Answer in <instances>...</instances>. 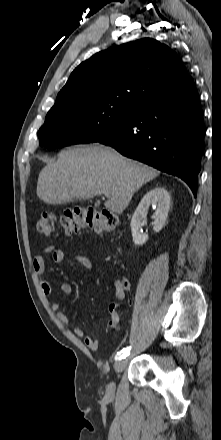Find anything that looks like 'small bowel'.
<instances>
[{"label": "small bowel", "instance_id": "1", "mask_svg": "<svg viewBox=\"0 0 221 440\" xmlns=\"http://www.w3.org/2000/svg\"><path fill=\"white\" fill-rule=\"evenodd\" d=\"M45 253L51 254L52 259L56 263H63L66 260L65 253L61 249H56L53 245H48L44 249ZM75 261L83 266L87 271H92L93 269V263L90 258H88L85 255L78 254L75 256ZM32 268L36 276L39 278V283L42 291L45 295L51 296L53 294V289L51 285L44 279H42V275L45 272V259L42 255H36L32 262ZM115 287V295L117 299L123 300L125 298L126 291L128 289V283L126 281H115L114 283ZM60 292L63 295H71L73 292V287L70 283L64 282L60 285ZM52 310L56 313L57 319L62 324H68L69 318L67 314L60 311V303L54 302L51 305ZM119 309L120 305L117 302L111 303L108 306V312L110 315V319L108 321L107 330L106 333H109V331L115 327L116 324L119 323L118 315H119ZM73 333L77 337H81L84 340L85 345L93 350L96 351L99 349L100 343L99 340L90 336V335H84L83 330L80 327H75L73 329Z\"/></svg>", "mask_w": 221, "mask_h": 440}]
</instances>
